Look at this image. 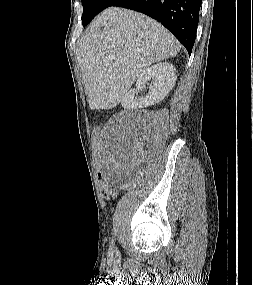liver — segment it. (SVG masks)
<instances>
[{
    "mask_svg": "<svg viewBox=\"0 0 253 285\" xmlns=\"http://www.w3.org/2000/svg\"><path fill=\"white\" fill-rule=\"evenodd\" d=\"M180 48L154 19L128 9H105L86 29L76 53L90 109L117 106L148 66L174 57Z\"/></svg>",
    "mask_w": 253,
    "mask_h": 285,
    "instance_id": "liver-1",
    "label": "liver"
}]
</instances>
